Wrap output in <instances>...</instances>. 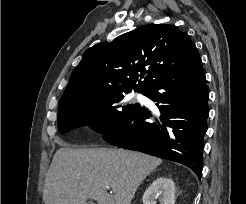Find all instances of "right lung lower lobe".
I'll use <instances>...</instances> for the list:
<instances>
[{
	"instance_id": "98d812e1",
	"label": "right lung lower lobe",
	"mask_w": 246,
	"mask_h": 204,
	"mask_svg": "<svg viewBox=\"0 0 246 204\" xmlns=\"http://www.w3.org/2000/svg\"><path fill=\"white\" fill-rule=\"evenodd\" d=\"M143 94L157 102L159 115L138 105L124 124L103 134L104 140L179 162L200 179L209 114V93L201 59L162 78Z\"/></svg>"
}]
</instances>
